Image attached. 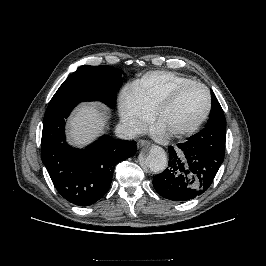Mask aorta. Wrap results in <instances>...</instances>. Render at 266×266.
I'll list each match as a JSON object with an SVG mask.
<instances>
[{
	"mask_svg": "<svg viewBox=\"0 0 266 266\" xmlns=\"http://www.w3.org/2000/svg\"><path fill=\"white\" fill-rule=\"evenodd\" d=\"M145 165L153 172H161L167 167V155L160 146H152L144 159Z\"/></svg>",
	"mask_w": 266,
	"mask_h": 266,
	"instance_id": "obj_1",
	"label": "aorta"
}]
</instances>
